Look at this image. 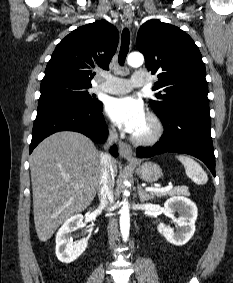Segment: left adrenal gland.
Listing matches in <instances>:
<instances>
[{"label": "left adrenal gland", "mask_w": 233, "mask_h": 283, "mask_svg": "<svg viewBox=\"0 0 233 283\" xmlns=\"http://www.w3.org/2000/svg\"><path fill=\"white\" fill-rule=\"evenodd\" d=\"M137 189H138V195H139V199L141 202H145L147 200H150L152 199V197L147 194L140 185L137 186Z\"/></svg>", "instance_id": "left-adrenal-gland-1"}]
</instances>
